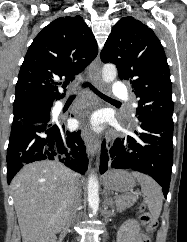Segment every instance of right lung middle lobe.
I'll use <instances>...</instances> for the list:
<instances>
[{
	"instance_id": "1",
	"label": "right lung middle lobe",
	"mask_w": 187,
	"mask_h": 242,
	"mask_svg": "<svg viewBox=\"0 0 187 242\" xmlns=\"http://www.w3.org/2000/svg\"><path fill=\"white\" fill-rule=\"evenodd\" d=\"M51 106H52L51 104H32V105L14 107L13 121L23 119L30 115L47 112L50 110Z\"/></svg>"
}]
</instances>
